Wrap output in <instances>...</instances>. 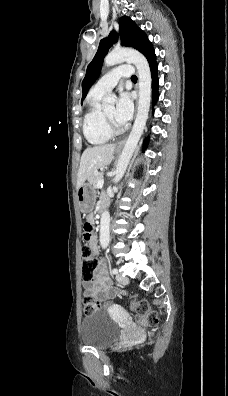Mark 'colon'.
<instances>
[{
    "mask_svg": "<svg viewBox=\"0 0 228 396\" xmlns=\"http://www.w3.org/2000/svg\"><path fill=\"white\" fill-rule=\"evenodd\" d=\"M92 225L89 222L84 224V234L82 246V278L86 282H91L94 277V272L97 268L98 261L93 255L89 242L91 240ZM100 308L99 302L90 295H86L83 300V311L86 314L97 311ZM132 308L136 313L138 322L147 328L155 331L159 324V318L155 311L150 309L146 300H139L132 304Z\"/></svg>",
    "mask_w": 228,
    "mask_h": 396,
    "instance_id": "5ec220e1",
    "label": "colon"
}]
</instances>
